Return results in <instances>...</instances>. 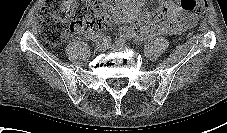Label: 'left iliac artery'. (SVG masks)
I'll return each mask as SVG.
<instances>
[{
  "label": "left iliac artery",
  "instance_id": "obj_1",
  "mask_svg": "<svg viewBox=\"0 0 227 133\" xmlns=\"http://www.w3.org/2000/svg\"><path fill=\"white\" fill-rule=\"evenodd\" d=\"M115 43H116V44H124V43H125V39L122 38V37H119V38H117V39L115 40Z\"/></svg>",
  "mask_w": 227,
  "mask_h": 133
}]
</instances>
